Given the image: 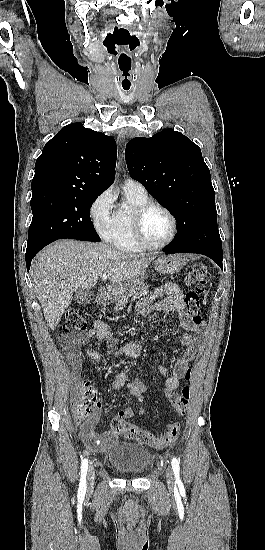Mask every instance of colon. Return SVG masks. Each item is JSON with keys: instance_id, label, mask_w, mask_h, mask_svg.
<instances>
[{"instance_id": "obj_1", "label": "colon", "mask_w": 265, "mask_h": 550, "mask_svg": "<svg viewBox=\"0 0 265 550\" xmlns=\"http://www.w3.org/2000/svg\"><path fill=\"white\" fill-rule=\"evenodd\" d=\"M209 273L205 264H196L188 271L187 283L193 287L185 295V304L187 313L191 320L196 324L202 323L201 316V297L208 282ZM87 320L77 308H69L64 317L63 331L65 333L82 332L87 328ZM191 370L185 374V379L189 381ZM167 399L174 410L181 416L187 413L190 402V388L184 386L180 392H174L167 395ZM75 409V422L77 425L84 426L90 423L97 410L101 406V398L95 386L90 382L82 385L81 393L73 399ZM111 431L119 436L129 440H135L141 444L154 448H165L173 444L181 433V427L178 422H171L167 426V431L162 436H156L148 430L137 427L135 424L116 416L111 421Z\"/></svg>"}]
</instances>
